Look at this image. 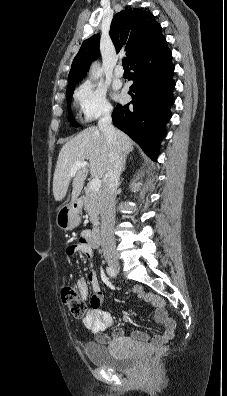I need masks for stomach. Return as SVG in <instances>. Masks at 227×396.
<instances>
[{
  "label": "stomach",
  "instance_id": "1",
  "mask_svg": "<svg viewBox=\"0 0 227 396\" xmlns=\"http://www.w3.org/2000/svg\"><path fill=\"white\" fill-rule=\"evenodd\" d=\"M81 206L79 201L62 206L56 216V225L64 231L77 227L81 221Z\"/></svg>",
  "mask_w": 227,
  "mask_h": 396
}]
</instances>
